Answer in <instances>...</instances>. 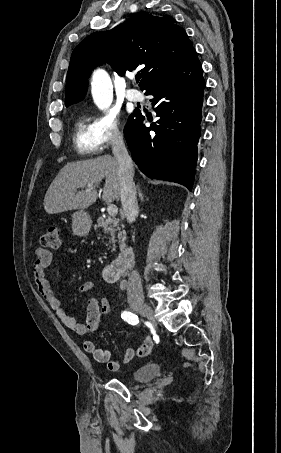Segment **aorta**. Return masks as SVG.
Wrapping results in <instances>:
<instances>
[{
    "label": "aorta",
    "mask_w": 281,
    "mask_h": 453,
    "mask_svg": "<svg viewBox=\"0 0 281 453\" xmlns=\"http://www.w3.org/2000/svg\"><path fill=\"white\" fill-rule=\"evenodd\" d=\"M94 103L100 110L110 107L113 100V85L108 73L103 69L94 71L91 82Z\"/></svg>",
    "instance_id": "1"
}]
</instances>
